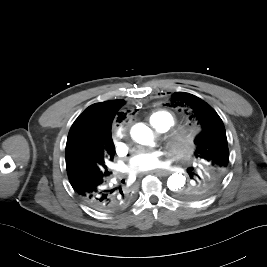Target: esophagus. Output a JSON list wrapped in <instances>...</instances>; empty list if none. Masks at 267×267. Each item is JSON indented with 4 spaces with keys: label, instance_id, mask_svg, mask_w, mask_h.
<instances>
[{
    "label": "esophagus",
    "instance_id": "1",
    "mask_svg": "<svg viewBox=\"0 0 267 267\" xmlns=\"http://www.w3.org/2000/svg\"><path fill=\"white\" fill-rule=\"evenodd\" d=\"M152 173L156 174V175H159V176H168L171 174L170 171L168 170H163V169H157V170H154L152 171Z\"/></svg>",
    "mask_w": 267,
    "mask_h": 267
}]
</instances>
